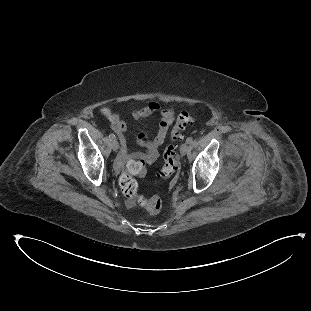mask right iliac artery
I'll use <instances>...</instances> for the list:
<instances>
[{
	"label": "right iliac artery",
	"mask_w": 311,
	"mask_h": 311,
	"mask_svg": "<svg viewBox=\"0 0 311 311\" xmlns=\"http://www.w3.org/2000/svg\"><path fill=\"white\" fill-rule=\"evenodd\" d=\"M109 138H110V140H114V139H115V135H114L113 133H111V134L109 135Z\"/></svg>",
	"instance_id": "82829eb1"
}]
</instances>
